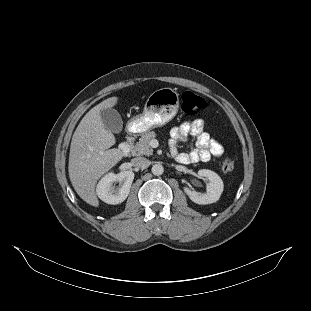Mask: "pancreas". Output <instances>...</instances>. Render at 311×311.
Here are the masks:
<instances>
[{
    "label": "pancreas",
    "instance_id": "1",
    "mask_svg": "<svg viewBox=\"0 0 311 311\" xmlns=\"http://www.w3.org/2000/svg\"><path fill=\"white\" fill-rule=\"evenodd\" d=\"M155 132H148L139 139V142L134 144V142L129 143L130 152L134 157H141L144 155H152L153 148L150 145V141L155 138Z\"/></svg>",
    "mask_w": 311,
    "mask_h": 311
}]
</instances>
